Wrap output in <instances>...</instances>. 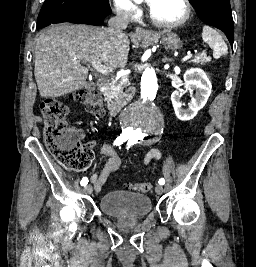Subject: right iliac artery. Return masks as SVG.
Segmentation results:
<instances>
[{"mask_svg":"<svg viewBox=\"0 0 256 267\" xmlns=\"http://www.w3.org/2000/svg\"><path fill=\"white\" fill-rule=\"evenodd\" d=\"M127 140V138L123 137V136H119L115 141H114V145H121L123 144L125 141ZM88 184V178L87 177H83L81 180V185L82 186H86Z\"/></svg>","mask_w":256,"mask_h":267,"instance_id":"1","label":"right iliac artery"}]
</instances>
